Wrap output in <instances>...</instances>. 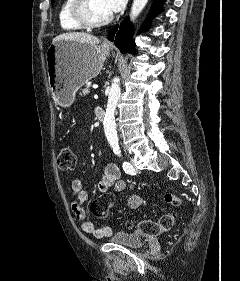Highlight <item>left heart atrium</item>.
Masks as SVG:
<instances>
[{
    "mask_svg": "<svg viewBox=\"0 0 240 281\" xmlns=\"http://www.w3.org/2000/svg\"><path fill=\"white\" fill-rule=\"evenodd\" d=\"M106 7L110 13L118 12L124 8L127 0H105Z\"/></svg>",
    "mask_w": 240,
    "mask_h": 281,
    "instance_id": "1",
    "label": "left heart atrium"
}]
</instances>
